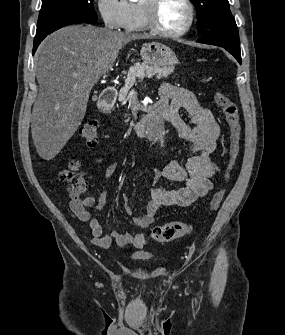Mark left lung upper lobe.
<instances>
[{
    "label": "left lung upper lobe",
    "mask_w": 285,
    "mask_h": 335,
    "mask_svg": "<svg viewBox=\"0 0 285 335\" xmlns=\"http://www.w3.org/2000/svg\"><path fill=\"white\" fill-rule=\"evenodd\" d=\"M197 9L199 27L204 30L236 25L228 0H190Z\"/></svg>",
    "instance_id": "left-lung-upper-lobe-1"
}]
</instances>
